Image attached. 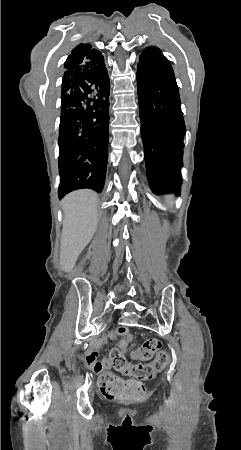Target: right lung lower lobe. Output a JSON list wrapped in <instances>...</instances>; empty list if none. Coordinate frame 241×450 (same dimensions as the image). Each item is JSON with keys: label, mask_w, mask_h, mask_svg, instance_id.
<instances>
[{"label": "right lung lower lobe", "mask_w": 241, "mask_h": 450, "mask_svg": "<svg viewBox=\"0 0 241 450\" xmlns=\"http://www.w3.org/2000/svg\"><path fill=\"white\" fill-rule=\"evenodd\" d=\"M109 93L104 60L64 73L59 125L60 198L77 189H103L108 159Z\"/></svg>", "instance_id": "obj_1"}]
</instances>
